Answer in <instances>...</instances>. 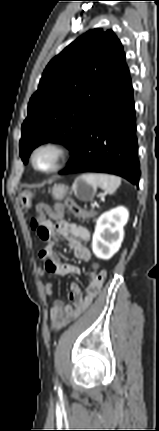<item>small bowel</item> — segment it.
Masks as SVG:
<instances>
[{"instance_id":"obj_1","label":"small bowel","mask_w":159,"mask_h":431,"mask_svg":"<svg viewBox=\"0 0 159 431\" xmlns=\"http://www.w3.org/2000/svg\"><path fill=\"white\" fill-rule=\"evenodd\" d=\"M43 227V233L37 232L39 238L45 242L44 247L39 252V258L43 265L38 267V273L40 275L49 273L61 277L68 274H79L81 270L78 266L65 263L59 259L54 252V246L58 242V236H62L70 241L76 258L88 261L91 259V252L84 245V242L90 239L89 231L61 218L56 219V222L47 220ZM104 280L105 272L98 267L92 268L91 280L85 292L80 289L78 284L72 283L69 289L70 303L56 300L51 308L52 329L58 331L80 316L98 296ZM44 291L48 295L53 294V284L46 283Z\"/></svg>"}]
</instances>
